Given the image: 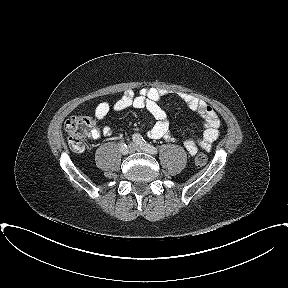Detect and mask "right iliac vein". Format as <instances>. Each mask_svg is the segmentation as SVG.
<instances>
[{"label":"right iliac vein","mask_w":288,"mask_h":288,"mask_svg":"<svg viewBox=\"0 0 288 288\" xmlns=\"http://www.w3.org/2000/svg\"><path fill=\"white\" fill-rule=\"evenodd\" d=\"M127 148L129 149V154L134 152V146L132 144H129Z\"/></svg>","instance_id":"obj_1"}]
</instances>
